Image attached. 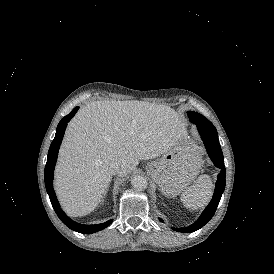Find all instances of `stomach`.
Returning a JSON list of instances; mask_svg holds the SVG:
<instances>
[{
    "instance_id": "obj_1",
    "label": "stomach",
    "mask_w": 274,
    "mask_h": 274,
    "mask_svg": "<svg viewBox=\"0 0 274 274\" xmlns=\"http://www.w3.org/2000/svg\"><path fill=\"white\" fill-rule=\"evenodd\" d=\"M172 134L171 137H177ZM200 157L195 145L181 134V138L157 161L147 164L146 172L160 187L162 193L174 197L181 193L197 176Z\"/></svg>"
}]
</instances>
